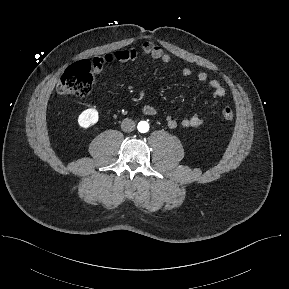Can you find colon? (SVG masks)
I'll use <instances>...</instances> for the list:
<instances>
[{
  "instance_id": "obj_1",
  "label": "colon",
  "mask_w": 289,
  "mask_h": 289,
  "mask_svg": "<svg viewBox=\"0 0 289 289\" xmlns=\"http://www.w3.org/2000/svg\"><path fill=\"white\" fill-rule=\"evenodd\" d=\"M94 85L92 65L88 61H79L71 65L61 76L57 84V91L63 95L85 96L88 95ZM222 117L231 121L234 111L226 106L221 110Z\"/></svg>"
}]
</instances>
